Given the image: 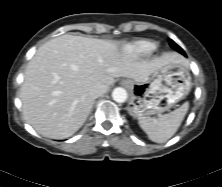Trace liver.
I'll use <instances>...</instances> for the list:
<instances>
[{"label": "liver", "instance_id": "obj_1", "mask_svg": "<svg viewBox=\"0 0 222 187\" xmlns=\"http://www.w3.org/2000/svg\"><path fill=\"white\" fill-rule=\"evenodd\" d=\"M185 63L176 52L152 60L120 52L118 43L64 34L39 47L27 65L20 90L23 115L39 134L53 139L72 136L85 123L95 98L90 88L107 90L115 78L149 79L170 63Z\"/></svg>", "mask_w": 222, "mask_h": 187}]
</instances>
